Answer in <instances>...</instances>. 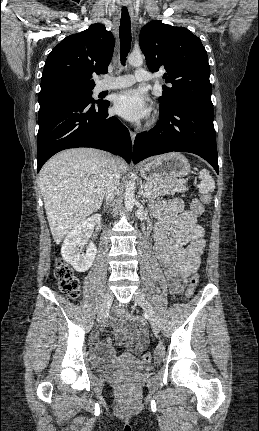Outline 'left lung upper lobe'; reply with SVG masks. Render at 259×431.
<instances>
[{
  "instance_id": "5c2ea615",
  "label": "left lung upper lobe",
  "mask_w": 259,
  "mask_h": 431,
  "mask_svg": "<svg viewBox=\"0 0 259 431\" xmlns=\"http://www.w3.org/2000/svg\"><path fill=\"white\" fill-rule=\"evenodd\" d=\"M139 44L148 68L153 72L164 69L163 81L172 84V87L163 86L160 107L178 101L213 106L208 56L197 36L187 28L154 20L142 28Z\"/></svg>"
}]
</instances>
